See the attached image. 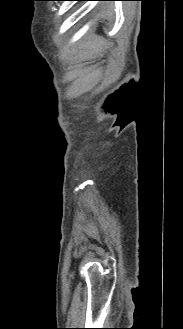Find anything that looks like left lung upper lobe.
Listing matches in <instances>:
<instances>
[{
  "mask_svg": "<svg viewBox=\"0 0 183 329\" xmlns=\"http://www.w3.org/2000/svg\"><path fill=\"white\" fill-rule=\"evenodd\" d=\"M77 1H86V0H77Z\"/></svg>",
  "mask_w": 183,
  "mask_h": 329,
  "instance_id": "1",
  "label": "left lung upper lobe"
}]
</instances>
